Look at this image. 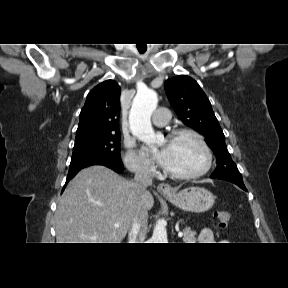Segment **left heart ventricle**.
<instances>
[{"instance_id": "left-heart-ventricle-1", "label": "left heart ventricle", "mask_w": 288, "mask_h": 288, "mask_svg": "<svg viewBox=\"0 0 288 288\" xmlns=\"http://www.w3.org/2000/svg\"><path fill=\"white\" fill-rule=\"evenodd\" d=\"M161 146L162 149H167V158L163 165L171 171L191 173L205 165L204 151L190 136L165 141Z\"/></svg>"}]
</instances>
